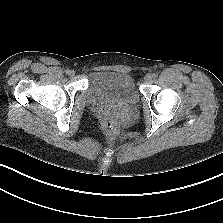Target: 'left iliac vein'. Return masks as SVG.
Instances as JSON below:
<instances>
[{"mask_svg":"<svg viewBox=\"0 0 223 223\" xmlns=\"http://www.w3.org/2000/svg\"><path fill=\"white\" fill-rule=\"evenodd\" d=\"M152 79H153V75L150 73L146 74L144 77L145 83H150L152 81Z\"/></svg>","mask_w":223,"mask_h":223,"instance_id":"left-iliac-vein-1","label":"left iliac vein"}]
</instances>
